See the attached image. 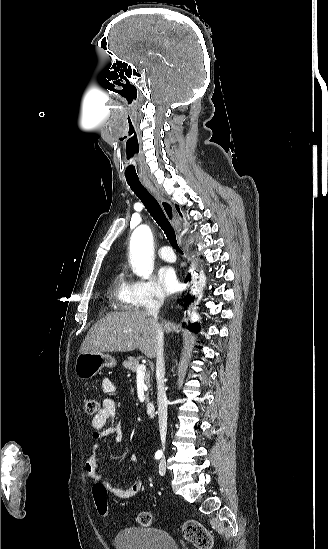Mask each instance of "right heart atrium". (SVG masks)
Instances as JSON below:
<instances>
[{"label":"right heart atrium","mask_w":328,"mask_h":549,"mask_svg":"<svg viewBox=\"0 0 328 549\" xmlns=\"http://www.w3.org/2000/svg\"><path fill=\"white\" fill-rule=\"evenodd\" d=\"M133 289L141 303H163L164 295L159 289L154 277L135 280Z\"/></svg>","instance_id":"right-heart-atrium-1"}]
</instances>
